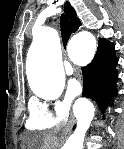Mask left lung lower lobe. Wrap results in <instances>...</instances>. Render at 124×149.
<instances>
[{
	"mask_svg": "<svg viewBox=\"0 0 124 149\" xmlns=\"http://www.w3.org/2000/svg\"><path fill=\"white\" fill-rule=\"evenodd\" d=\"M117 65L114 45L106 39H100L94 59L82 68V95L96 101L103 113L117 95Z\"/></svg>",
	"mask_w": 124,
	"mask_h": 149,
	"instance_id": "1",
	"label": "left lung lower lobe"
}]
</instances>
